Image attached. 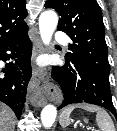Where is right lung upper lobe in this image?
<instances>
[{
	"label": "right lung upper lobe",
	"instance_id": "1",
	"mask_svg": "<svg viewBox=\"0 0 117 131\" xmlns=\"http://www.w3.org/2000/svg\"><path fill=\"white\" fill-rule=\"evenodd\" d=\"M26 0H0V44L28 31Z\"/></svg>",
	"mask_w": 117,
	"mask_h": 131
}]
</instances>
